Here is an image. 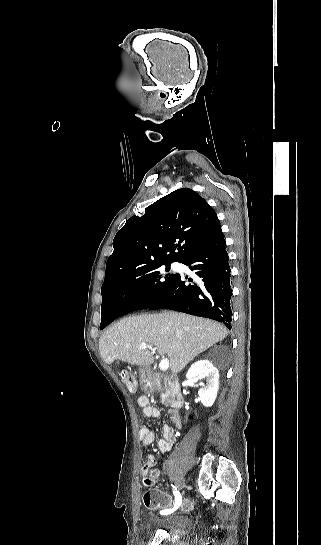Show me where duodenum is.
Here are the masks:
<instances>
[{
  "instance_id": "1",
  "label": "duodenum",
  "mask_w": 321,
  "mask_h": 545,
  "mask_svg": "<svg viewBox=\"0 0 321 545\" xmlns=\"http://www.w3.org/2000/svg\"><path fill=\"white\" fill-rule=\"evenodd\" d=\"M146 378L151 386L162 392L163 401L172 409L173 424L178 425V411L183 406V397L175 383L171 379L161 377L151 371L146 372Z\"/></svg>"
}]
</instances>
